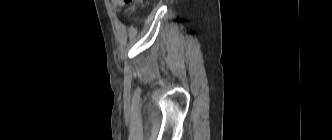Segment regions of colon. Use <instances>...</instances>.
<instances>
[{
	"label": "colon",
	"instance_id": "obj_1",
	"mask_svg": "<svg viewBox=\"0 0 332 140\" xmlns=\"http://www.w3.org/2000/svg\"><path fill=\"white\" fill-rule=\"evenodd\" d=\"M111 1H112V4L118 9H121L122 7L129 5V4L138 5L143 2V0H111Z\"/></svg>",
	"mask_w": 332,
	"mask_h": 140
}]
</instances>
